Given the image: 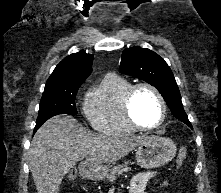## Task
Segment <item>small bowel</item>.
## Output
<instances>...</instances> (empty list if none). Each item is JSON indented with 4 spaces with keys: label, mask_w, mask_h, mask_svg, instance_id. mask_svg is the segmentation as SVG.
<instances>
[{
    "label": "small bowel",
    "mask_w": 221,
    "mask_h": 193,
    "mask_svg": "<svg viewBox=\"0 0 221 193\" xmlns=\"http://www.w3.org/2000/svg\"><path fill=\"white\" fill-rule=\"evenodd\" d=\"M158 174L159 173L157 171H147L136 174L133 177L130 185V193H145L147 182L152 178L158 176ZM163 186H170V182L165 181L163 183Z\"/></svg>",
    "instance_id": "small-bowel-1"
}]
</instances>
